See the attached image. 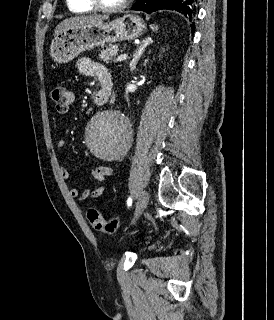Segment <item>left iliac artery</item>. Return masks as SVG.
Here are the masks:
<instances>
[{
    "mask_svg": "<svg viewBox=\"0 0 274 320\" xmlns=\"http://www.w3.org/2000/svg\"><path fill=\"white\" fill-rule=\"evenodd\" d=\"M132 205V198L129 197L127 200V206L130 207Z\"/></svg>",
    "mask_w": 274,
    "mask_h": 320,
    "instance_id": "left-iliac-artery-1",
    "label": "left iliac artery"
}]
</instances>
